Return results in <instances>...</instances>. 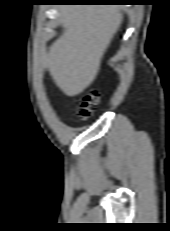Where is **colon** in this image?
<instances>
[{
    "instance_id": "colon-1",
    "label": "colon",
    "mask_w": 170,
    "mask_h": 231,
    "mask_svg": "<svg viewBox=\"0 0 170 231\" xmlns=\"http://www.w3.org/2000/svg\"><path fill=\"white\" fill-rule=\"evenodd\" d=\"M100 100V93L97 90L89 92L81 102L79 108V117L82 120L89 118L96 109Z\"/></svg>"
}]
</instances>
